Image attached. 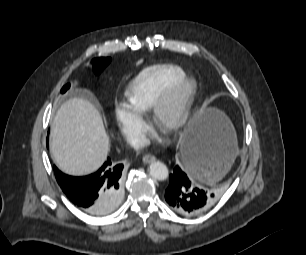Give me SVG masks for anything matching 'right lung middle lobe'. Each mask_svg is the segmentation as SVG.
<instances>
[{"label":"right lung middle lobe","mask_w":306,"mask_h":255,"mask_svg":"<svg viewBox=\"0 0 306 255\" xmlns=\"http://www.w3.org/2000/svg\"><path fill=\"white\" fill-rule=\"evenodd\" d=\"M111 61V58H95L92 60V67L95 74H99ZM70 87V84L65 85L61 93H65Z\"/></svg>","instance_id":"1"}]
</instances>
